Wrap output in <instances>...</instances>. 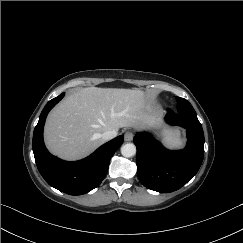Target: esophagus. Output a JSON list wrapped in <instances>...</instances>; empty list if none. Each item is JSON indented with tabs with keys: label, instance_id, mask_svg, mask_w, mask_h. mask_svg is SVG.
<instances>
[{
	"label": "esophagus",
	"instance_id": "obj_1",
	"mask_svg": "<svg viewBox=\"0 0 243 243\" xmlns=\"http://www.w3.org/2000/svg\"><path fill=\"white\" fill-rule=\"evenodd\" d=\"M134 137V133L130 130H127L125 133H124V139L125 141H131Z\"/></svg>",
	"mask_w": 243,
	"mask_h": 243
}]
</instances>
